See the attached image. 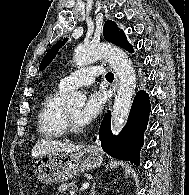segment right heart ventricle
<instances>
[{
	"mask_svg": "<svg viewBox=\"0 0 189 195\" xmlns=\"http://www.w3.org/2000/svg\"><path fill=\"white\" fill-rule=\"evenodd\" d=\"M67 92L60 86L43 99L37 115L38 135L46 139H59L65 134L64 108L61 98Z\"/></svg>",
	"mask_w": 189,
	"mask_h": 195,
	"instance_id": "1",
	"label": "right heart ventricle"
}]
</instances>
